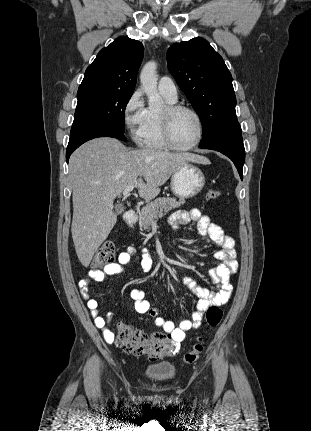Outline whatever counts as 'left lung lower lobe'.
I'll return each mask as SVG.
<instances>
[{
	"instance_id": "obj_1",
	"label": "left lung lower lobe",
	"mask_w": 311,
	"mask_h": 431,
	"mask_svg": "<svg viewBox=\"0 0 311 431\" xmlns=\"http://www.w3.org/2000/svg\"><path fill=\"white\" fill-rule=\"evenodd\" d=\"M199 147L202 149L215 150L229 157L234 162L241 179H243L242 170L245 162V149L241 132L229 134L214 142Z\"/></svg>"
}]
</instances>
